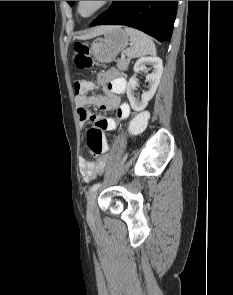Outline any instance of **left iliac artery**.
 Wrapping results in <instances>:
<instances>
[{
  "label": "left iliac artery",
  "instance_id": "obj_1",
  "mask_svg": "<svg viewBox=\"0 0 233 295\" xmlns=\"http://www.w3.org/2000/svg\"><path fill=\"white\" fill-rule=\"evenodd\" d=\"M123 161L120 163L122 166L127 162V156L126 155H124L123 157ZM101 186V183H96V184H94L92 187H91V189H90V191L92 192V191H95V190H97L99 187Z\"/></svg>",
  "mask_w": 233,
  "mask_h": 295
}]
</instances>
